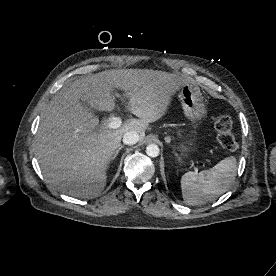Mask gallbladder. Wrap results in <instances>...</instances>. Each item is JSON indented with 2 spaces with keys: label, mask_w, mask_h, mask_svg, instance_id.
<instances>
[{
  "label": "gallbladder",
  "mask_w": 276,
  "mask_h": 276,
  "mask_svg": "<svg viewBox=\"0 0 276 276\" xmlns=\"http://www.w3.org/2000/svg\"><path fill=\"white\" fill-rule=\"evenodd\" d=\"M83 105H84V107H86L88 110H90L91 112H93V109H92L89 105H87L86 103H83Z\"/></svg>",
  "instance_id": "bac80fb5"
}]
</instances>
